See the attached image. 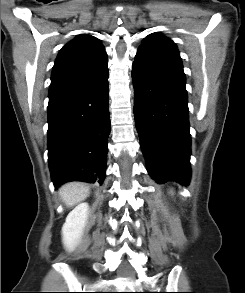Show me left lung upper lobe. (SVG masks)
Masks as SVG:
<instances>
[{"mask_svg": "<svg viewBox=\"0 0 245 293\" xmlns=\"http://www.w3.org/2000/svg\"><path fill=\"white\" fill-rule=\"evenodd\" d=\"M139 50H148L182 65L175 43L163 36L160 32L148 35L143 41V44L139 47Z\"/></svg>", "mask_w": 245, "mask_h": 293, "instance_id": "5c2ea615", "label": "left lung upper lobe"}]
</instances>
